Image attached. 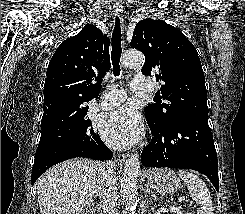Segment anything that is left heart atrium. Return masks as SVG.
<instances>
[{
	"mask_svg": "<svg viewBox=\"0 0 245 214\" xmlns=\"http://www.w3.org/2000/svg\"><path fill=\"white\" fill-rule=\"evenodd\" d=\"M105 142L117 149L135 143L143 133V126L137 112L130 106H122L106 114L99 123Z\"/></svg>",
	"mask_w": 245,
	"mask_h": 214,
	"instance_id": "39dd6f15",
	"label": "left heart atrium"
}]
</instances>
